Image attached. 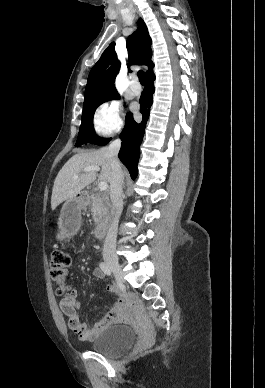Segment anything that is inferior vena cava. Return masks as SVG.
<instances>
[{"instance_id": "1", "label": "inferior vena cava", "mask_w": 265, "mask_h": 388, "mask_svg": "<svg viewBox=\"0 0 265 388\" xmlns=\"http://www.w3.org/2000/svg\"><path fill=\"white\" fill-rule=\"evenodd\" d=\"M121 148V140H114L108 148L106 154L111 164L110 178V198L112 202V210H114V220L109 226L107 236L104 242L103 258H112L116 256V236L118 230V222L123 210L122 186L124 182V174L120 168L118 154Z\"/></svg>"}]
</instances>
